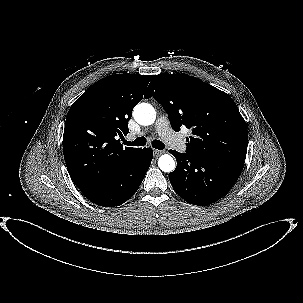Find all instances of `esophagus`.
<instances>
[{
    "label": "esophagus",
    "mask_w": 303,
    "mask_h": 303,
    "mask_svg": "<svg viewBox=\"0 0 303 303\" xmlns=\"http://www.w3.org/2000/svg\"><path fill=\"white\" fill-rule=\"evenodd\" d=\"M165 151H163V150H154V155L156 156V157H159L160 155H162L163 153H164Z\"/></svg>",
    "instance_id": "obj_1"
}]
</instances>
